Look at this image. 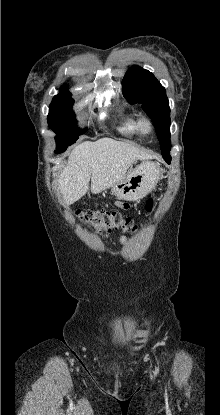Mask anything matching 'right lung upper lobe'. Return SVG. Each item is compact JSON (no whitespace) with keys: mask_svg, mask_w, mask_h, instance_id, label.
Masks as SVG:
<instances>
[{"mask_svg":"<svg viewBox=\"0 0 220 415\" xmlns=\"http://www.w3.org/2000/svg\"><path fill=\"white\" fill-rule=\"evenodd\" d=\"M60 94H68V95H70V93L67 91V89L65 87H63L61 89Z\"/></svg>","mask_w":220,"mask_h":415,"instance_id":"cb5924a9","label":"right lung upper lobe"}]
</instances>
